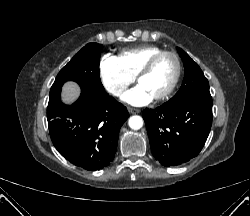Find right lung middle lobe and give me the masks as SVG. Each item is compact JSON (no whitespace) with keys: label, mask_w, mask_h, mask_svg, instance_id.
Listing matches in <instances>:
<instances>
[{"label":"right lung middle lobe","mask_w":250,"mask_h":216,"mask_svg":"<svg viewBox=\"0 0 250 216\" xmlns=\"http://www.w3.org/2000/svg\"><path fill=\"white\" fill-rule=\"evenodd\" d=\"M102 49L103 46L97 43H89L83 47L58 73L50 90V98L60 94L66 81H74L81 88L104 91L99 76Z\"/></svg>","instance_id":"1"}]
</instances>
